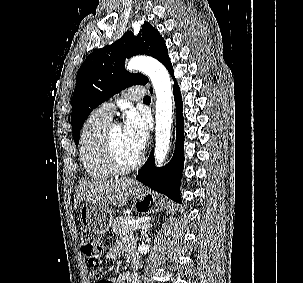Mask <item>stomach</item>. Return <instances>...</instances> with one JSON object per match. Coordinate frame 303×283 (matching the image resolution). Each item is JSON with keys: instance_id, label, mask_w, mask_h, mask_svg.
<instances>
[{"instance_id": "obj_1", "label": "stomach", "mask_w": 303, "mask_h": 283, "mask_svg": "<svg viewBox=\"0 0 303 283\" xmlns=\"http://www.w3.org/2000/svg\"><path fill=\"white\" fill-rule=\"evenodd\" d=\"M135 208L142 212H158L164 200L151 191L134 188ZM80 222L84 230L96 234L106 233L112 225L113 216L109 207L102 203L85 202L80 208Z\"/></svg>"}]
</instances>
